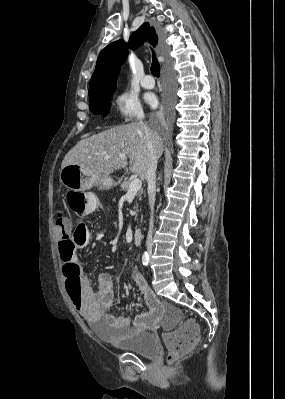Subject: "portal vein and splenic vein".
Masks as SVG:
<instances>
[{
    "label": "portal vein and splenic vein",
    "mask_w": 285,
    "mask_h": 399,
    "mask_svg": "<svg viewBox=\"0 0 285 399\" xmlns=\"http://www.w3.org/2000/svg\"><path fill=\"white\" fill-rule=\"evenodd\" d=\"M121 158L125 157V154H121L120 155ZM142 186V181L139 178H134L131 183H130V187L128 189V194L130 193H136L137 191H139L141 189Z\"/></svg>",
    "instance_id": "18ae733b"
}]
</instances>
